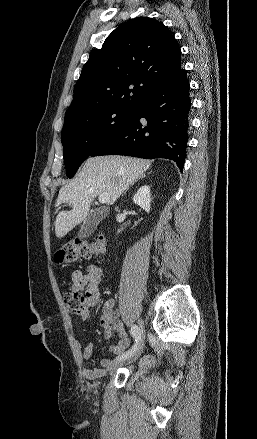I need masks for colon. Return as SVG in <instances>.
<instances>
[{"instance_id":"5ec220e1","label":"colon","mask_w":257,"mask_h":439,"mask_svg":"<svg viewBox=\"0 0 257 439\" xmlns=\"http://www.w3.org/2000/svg\"><path fill=\"white\" fill-rule=\"evenodd\" d=\"M105 240L103 236H98L95 241H80L63 246L55 254L58 263H72L81 258H91L104 253ZM86 297L81 291H70L64 295V303L67 309L73 313H80L84 309ZM154 363L153 357H148L143 361L141 367L147 368Z\"/></svg>"}]
</instances>
